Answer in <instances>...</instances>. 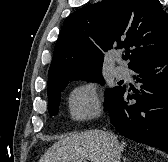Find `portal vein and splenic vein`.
Segmentation results:
<instances>
[{
  "label": "portal vein and splenic vein",
  "mask_w": 168,
  "mask_h": 162,
  "mask_svg": "<svg viewBox=\"0 0 168 162\" xmlns=\"http://www.w3.org/2000/svg\"><path fill=\"white\" fill-rule=\"evenodd\" d=\"M75 162H86L85 160H77Z\"/></svg>",
  "instance_id": "1"
}]
</instances>
